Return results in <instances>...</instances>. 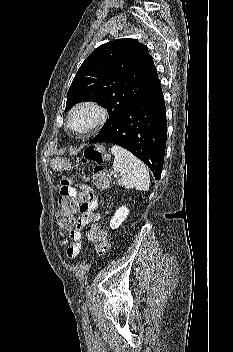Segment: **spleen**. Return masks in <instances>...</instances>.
Segmentation results:
<instances>
[{
    "label": "spleen",
    "instance_id": "3e777b00",
    "mask_svg": "<svg viewBox=\"0 0 233 352\" xmlns=\"http://www.w3.org/2000/svg\"><path fill=\"white\" fill-rule=\"evenodd\" d=\"M111 152L115 156L113 169L122 175L121 185L127 189L147 191L150 178L145 164L118 145H113Z\"/></svg>",
    "mask_w": 233,
    "mask_h": 352
}]
</instances>
